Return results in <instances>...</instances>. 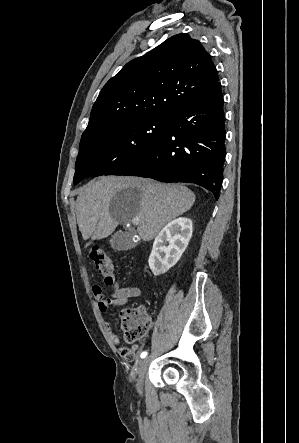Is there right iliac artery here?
Returning a JSON list of instances; mask_svg holds the SVG:
<instances>
[{"instance_id": "82829eb1", "label": "right iliac artery", "mask_w": 299, "mask_h": 443, "mask_svg": "<svg viewBox=\"0 0 299 443\" xmlns=\"http://www.w3.org/2000/svg\"><path fill=\"white\" fill-rule=\"evenodd\" d=\"M147 354H148V353H147L146 351H144V352L141 353L140 357H141V358H145V357L147 356Z\"/></svg>"}]
</instances>
